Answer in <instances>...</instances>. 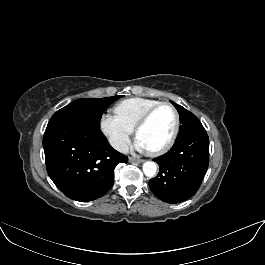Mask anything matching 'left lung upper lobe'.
Here are the masks:
<instances>
[{
    "label": "left lung upper lobe",
    "instance_id": "5c2ea615",
    "mask_svg": "<svg viewBox=\"0 0 265 265\" xmlns=\"http://www.w3.org/2000/svg\"><path fill=\"white\" fill-rule=\"evenodd\" d=\"M170 102L177 109L180 116V123L182 124L176 139L188 136L198 130L204 129L199 119L193 113L173 101Z\"/></svg>",
    "mask_w": 265,
    "mask_h": 265
}]
</instances>
